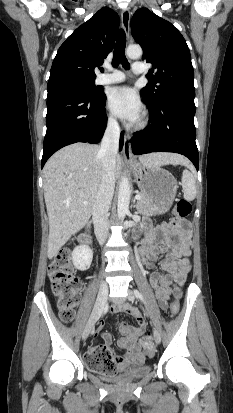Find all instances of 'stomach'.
<instances>
[{"label":"stomach","instance_id":"stomach-1","mask_svg":"<svg viewBox=\"0 0 233 413\" xmlns=\"http://www.w3.org/2000/svg\"><path fill=\"white\" fill-rule=\"evenodd\" d=\"M131 169L141 193L157 203L158 213L167 211L177 193V181L174 176L160 167H150L141 162L133 163Z\"/></svg>","mask_w":233,"mask_h":413}]
</instances>
